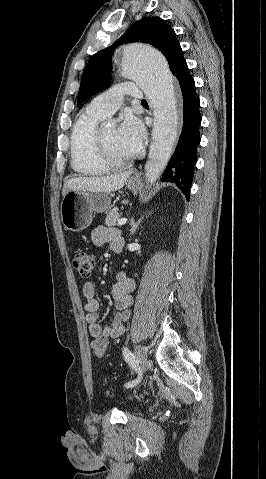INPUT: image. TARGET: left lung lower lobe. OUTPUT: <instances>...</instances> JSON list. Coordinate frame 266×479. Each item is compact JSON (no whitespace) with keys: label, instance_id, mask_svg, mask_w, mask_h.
Here are the masks:
<instances>
[{"label":"left lung lower lobe","instance_id":"left-lung-lower-lobe-1","mask_svg":"<svg viewBox=\"0 0 266 479\" xmlns=\"http://www.w3.org/2000/svg\"><path fill=\"white\" fill-rule=\"evenodd\" d=\"M174 75L182 91L184 123L177 147L165 169L162 181L176 184L189 200L193 168L197 160V146L200 143L199 98L186 61L180 65Z\"/></svg>","mask_w":266,"mask_h":479}]
</instances>
